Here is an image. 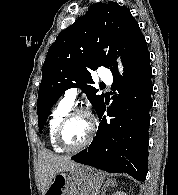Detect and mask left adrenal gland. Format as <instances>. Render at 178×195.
<instances>
[{
  "label": "left adrenal gland",
  "instance_id": "obj_1",
  "mask_svg": "<svg viewBox=\"0 0 178 195\" xmlns=\"http://www.w3.org/2000/svg\"><path fill=\"white\" fill-rule=\"evenodd\" d=\"M109 186H116V182H115V181H110V180H108V181L106 182V184L104 185V190H103V192H102V195H105V192H106V190H107V188H108Z\"/></svg>",
  "mask_w": 178,
  "mask_h": 195
}]
</instances>
